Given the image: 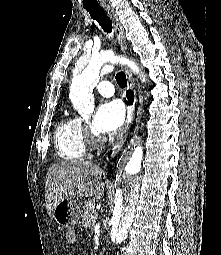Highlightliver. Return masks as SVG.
<instances>
[{
	"label": "liver",
	"instance_id": "6515ba94",
	"mask_svg": "<svg viewBox=\"0 0 221 255\" xmlns=\"http://www.w3.org/2000/svg\"><path fill=\"white\" fill-rule=\"evenodd\" d=\"M103 170L85 161H66L53 165L45 182L46 208L53 217L54 208L67 197L102 198L105 184L101 181Z\"/></svg>",
	"mask_w": 221,
	"mask_h": 255
}]
</instances>
